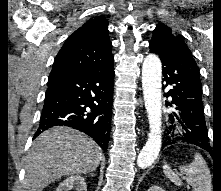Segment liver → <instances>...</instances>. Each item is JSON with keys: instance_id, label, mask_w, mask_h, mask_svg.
<instances>
[{"instance_id": "6515ba94", "label": "liver", "mask_w": 221, "mask_h": 191, "mask_svg": "<svg viewBox=\"0 0 221 191\" xmlns=\"http://www.w3.org/2000/svg\"><path fill=\"white\" fill-rule=\"evenodd\" d=\"M101 152L92 138L72 128L56 126L43 132L26 157L25 191H41L61 176L96 170Z\"/></svg>"}]
</instances>
